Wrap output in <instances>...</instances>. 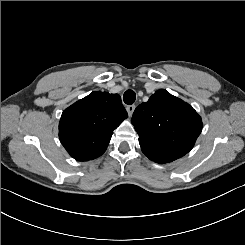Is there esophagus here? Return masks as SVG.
Masks as SVG:
<instances>
[{"label":"esophagus","instance_id":"34e87169","mask_svg":"<svg viewBox=\"0 0 245 245\" xmlns=\"http://www.w3.org/2000/svg\"><path fill=\"white\" fill-rule=\"evenodd\" d=\"M126 109H127L128 115L132 116L134 109H135V105L134 104L128 105Z\"/></svg>","mask_w":245,"mask_h":245}]
</instances>
